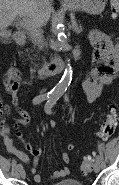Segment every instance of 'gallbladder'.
I'll list each match as a JSON object with an SVG mask.
<instances>
[{
	"label": "gallbladder",
	"instance_id": "bac80fb5",
	"mask_svg": "<svg viewBox=\"0 0 119 185\" xmlns=\"http://www.w3.org/2000/svg\"><path fill=\"white\" fill-rule=\"evenodd\" d=\"M11 36V32L7 29H0V38L3 42L7 43L9 42Z\"/></svg>",
	"mask_w": 119,
	"mask_h": 185
}]
</instances>
